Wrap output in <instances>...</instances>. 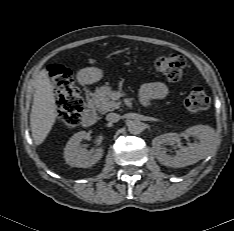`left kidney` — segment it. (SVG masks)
I'll use <instances>...</instances> for the list:
<instances>
[{"label": "left kidney", "mask_w": 234, "mask_h": 231, "mask_svg": "<svg viewBox=\"0 0 234 231\" xmlns=\"http://www.w3.org/2000/svg\"><path fill=\"white\" fill-rule=\"evenodd\" d=\"M182 135L192 136L198 139L188 147L180 145ZM165 144L178 146L180 149L174 157L166 154ZM220 144L218 134L213 128L204 125H196L186 129L183 133H166L153 139L152 145L157 160L173 168L185 167L198 162L205 156L215 153Z\"/></svg>", "instance_id": "obj_1"}]
</instances>
